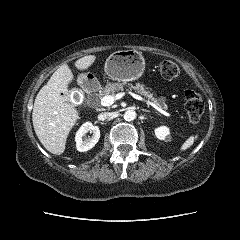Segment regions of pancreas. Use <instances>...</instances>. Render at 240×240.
I'll list each match as a JSON object with an SVG mask.
<instances>
[{"mask_svg":"<svg viewBox=\"0 0 240 240\" xmlns=\"http://www.w3.org/2000/svg\"><path fill=\"white\" fill-rule=\"evenodd\" d=\"M124 85L127 86L126 83H108L105 86V88H103L102 90L99 91L98 94H96V96L99 99H102V97H104L106 95H110V96L114 97L116 95V92L123 91ZM128 87L130 89L136 90L140 95L152 100L160 108H166L165 99L164 98H161V99L154 98L153 94L150 93L148 88H146L143 84H140V83H137L136 85L128 84Z\"/></svg>","mask_w":240,"mask_h":240,"instance_id":"pancreas-1","label":"pancreas"}]
</instances>
